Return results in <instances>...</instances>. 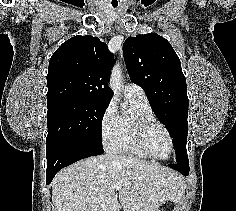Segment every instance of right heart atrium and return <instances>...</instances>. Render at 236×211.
Instances as JSON below:
<instances>
[{
    "label": "right heart atrium",
    "instance_id": "right-heart-atrium-1",
    "mask_svg": "<svg viewBox=\"0 0 236 211\" xmlns=\"http://www.w3.org/2000/svg\"><path fill=\"white\" fill-rule=\"evenodd\" d=\"M118 127L119 116L117 114L116 107L113 102H109L104 109L99 122L101 140L105 147L110 148L117 136Z\"/></svg>",
    "mask_w": 236,
    "mask_h": 211
}]
</instances>
